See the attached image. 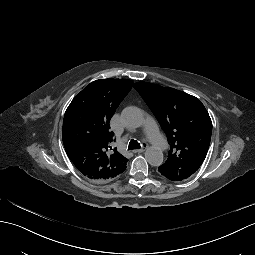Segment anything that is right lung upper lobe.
Returning <instances> with one entry per match:
<instances>
[{
    "label": "right lung upper lobe",
    "mask_w": 255,
    "mask_h": 255,
    "mask_svg": "<svg viewBox=\"0 0 255 255\" xmlns=\"http://www.w3.org/2000/svg\"><path fill=\"white\" fill-rule=\"evenodd\" d=\"M128 79H100L85 87L70 103L62 138L66 153L88 179L103 183L119 176L128 161L112 149L110 119L132 88Z\"/></svg>",
    "instance_id": "right-lung-upper-lobe-1"
}]
</instances>
